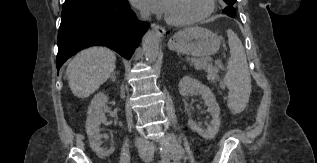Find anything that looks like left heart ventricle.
<instances>
[{"mask_svg": "<svg viewBox=\"0 0 317 163\" xmlns=\"http://www.w3.org/2000/svg\"><path fill=\"white\" fill-rule=\"evenodd\" d=\"M206 0H171L167 17L174 20H187L201 14Z\"/></svg>", "mask_w": 317, "mask_h": 163, "instance_id": "obj_1", "label": "left heart ventricle"}]
</instances>
